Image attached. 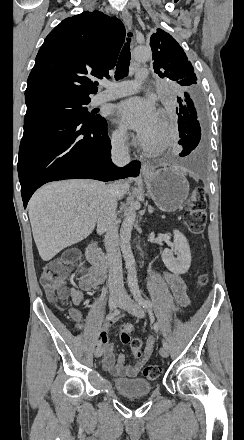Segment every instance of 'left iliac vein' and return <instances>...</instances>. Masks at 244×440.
I'll use <instances>...</instances> for the list:
<instances>
[{"instance_id": "4c4485c4", "label": "left iliac vein", "mask_w": 244, "mask_h": 440, "mask_svg": "<svg viewBox=\"0 0 244 440\" xmlns=\"http://www.w3.org/2000/svg\"><path fill=\"white\" fill-rule=\"evenodd\" d=\"M120 306L136 317L139 318L144 317L143 309L139 306V304L136 301H134L128 295L122 296ZM159 353L163 358H167L169 355L168 349L165 347H161Z\"/></svg>"}]
</instances>
